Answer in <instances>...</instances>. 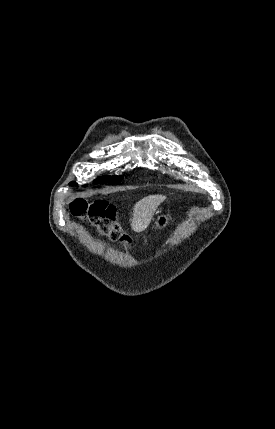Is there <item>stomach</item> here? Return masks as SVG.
Instances as JSON below:
<instances>
[{"mask_svg": "<svg viewBox=\"0 0 275 429\" xmlns=\"http://www.w3.org/2000/svg\"><path fill=\"white\" fill-rule=\"evenodd\" d=\"M171 217L169 214H161L157 217L155 221V227L157 230H163L170 221Z\"/></svg>", "mask_w": 275, "mask_h": 429, "instance_id": "1", "label": "stomach"}]
</instances>
